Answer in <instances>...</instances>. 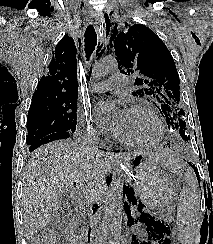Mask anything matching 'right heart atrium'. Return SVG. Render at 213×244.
I'll use <instances>...</instances> for the list:
<instances>
[{
    "instance_id": "d8ad5b80",
    "label": "right heart atrium",
    "mask_w": 213,
    "mask_h": 244,
    "mask_svg": "<svg viewBox=\"0 0 213 244\" xmlns=\"http://www.w3.org/2000/svg\"><path fill=\"white\" fill-rule=\"evenodd\" d=\"M108 134L106 125L97 121L89 109H83L78 114L76 136L87 141H98Z\"/></svg>"
}]
</instances>
